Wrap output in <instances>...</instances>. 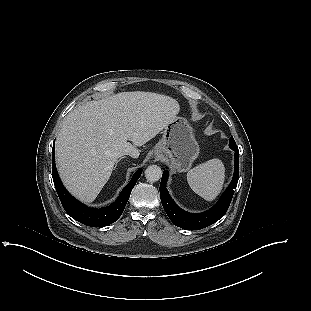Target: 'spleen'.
<instances>
[{"label":"spleen","mask_w":311,"mask_h":311,"mask_svg":"<svg viewBox=\"0 0 311 311\" xmlns=\"http://www.w3.org/2000/svg\"><path fill=\"white\" fill-rule=\"evenodd\" d=\"M225 180V167L220 159H211L190 169L187 181L190 188L207 201L221 192Z\"/></svg>","instance_id":"obj_1"}]
</instances>
